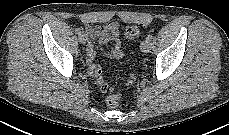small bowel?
Listing matches in <instances>:
<instances>
[{"label":"small bowel","instance_id":"c3829d8e","mask_svg":"<svg viewBox=\"0 0 229 135\" xmlns=\"http://www.w3.org/2000/svg\"><path fill=\"white\" fill-rule=\"evenodd\" d=\"M103 32L107 33L113 42V47L111 50L112 55H116L119 52L120 49V43L117 41L116 36H117V28L114 24H107L103 28Z\"/></svg>","mask_w":229,"mask_h":135}]
</instances>
